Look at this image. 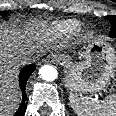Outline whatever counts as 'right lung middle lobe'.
<instances>
[{"label":"right lung middle lobe","instance_id":"right-lung-middle-lobe-1","mask_svg":"<svg viewBox=\"0 0 116 116\" xmlns=\"http://www.w3.org/2000/svg\"><path fill=\"white\" fill-rule=\"evenodd\" d=\"M2 14H4V12L3 11H0V15H2Z\"/></svg>","mask_w":116,"mask_h":116}]
</instances>
